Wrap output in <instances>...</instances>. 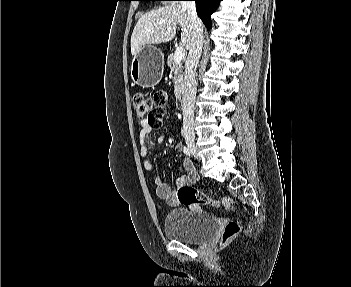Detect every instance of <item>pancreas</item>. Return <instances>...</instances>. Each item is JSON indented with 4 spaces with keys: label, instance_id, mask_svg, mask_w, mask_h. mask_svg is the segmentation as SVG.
<instances>
[{
    "label": "pancreas",
    "instance_id": "pancreas-1",
    "mask_svg": "<svg viewBox=\"0 0 351 287\" xmlns=\"http://www.w3.org/2000/svg\"><path fill=\"white\" fill-rule=\"evenodd\" d=\"M167 65L170 67L171 74H173V81H174V88H175V95L178 96L184 86L183 82V74H182V64L177 63L174 61V55L171 54L168 56Z\"/></svg>",
    "mask_w": 351,
    "mask_h": 287
}]
</instances>
